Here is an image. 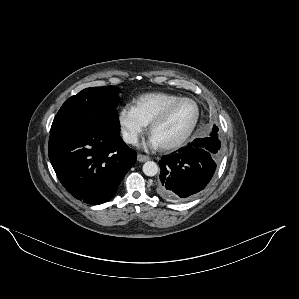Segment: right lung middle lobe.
<instances>
[{"instance_id": "1", "label": "right lung middle lobe", "mask_w": 299, "mask_h": 299, "mask_svg": "<svg viewBox=\"0 0 299 299\" xmlns=\"http://www.w3.org/2000/svg\"><path fill=\"white\" fill-rule=\"evenodd\" d=\"M119 92L116 86L92 87L80 91L64 102L54 118L50 133L79 124L99 125L120 131L117 113Z\"/></svg>"}]
</instances>
